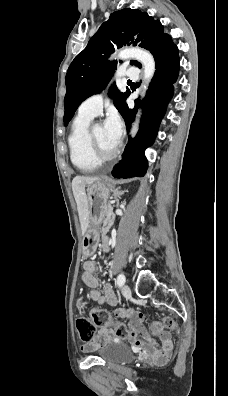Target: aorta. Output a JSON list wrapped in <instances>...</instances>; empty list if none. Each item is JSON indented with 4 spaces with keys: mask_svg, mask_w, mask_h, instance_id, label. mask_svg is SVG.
Here are the masks:
<instances>
[{
    "mask_svg": "<svg viewBox=\"0 0 228 396\" xmlns=\"http://www.w3.org/2000/svg\"><path fill=\"white\" fill-rule=\"evenodd\" d=\"M112 58H118L122 60L134 59L139 61L143 65L144 68V73H143L144 89L142 92V97H143L155 72V61L151 53L138 47L125 48L119 51V53L113 56ZM140 116H141V111L139 110L136 117V121L134 122L131 130L132 135H134L138 131Z\"/></svg>",
    "mask_w": 228,
    "mask_h": 396,
    "instance_id": "aorta-1",
    "label": "aorta"
}]
</instances>
